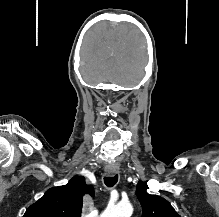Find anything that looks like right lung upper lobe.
I'll list each match as a JSON object with an SVG mask.
<instances>
[{
  "label": "right lung upper lobe",
  "instance_id": "1",
  "mask_svg": "<svg viewBox=\"0 0 219 217\" xmlns=\"http://www.w3.org/2000/svg\"><path fill=\"white\" fill-rule=\"evenodd\" d=\"M85 193L93 196V187L86 185L82 176H75L66 185L49 189L24 217H80Z\"/></svg>",
  "mask_w": 219,
  "mask_h": 217
}]
</instances>
